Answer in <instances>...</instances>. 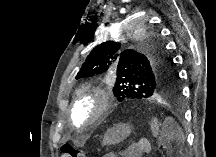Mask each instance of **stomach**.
I'll return each mask as SVG.
<instances>
[{
	"mask_svg": "<svg viewBox=\"0 0 216 157\" xmlns=\"http://www.w3.org/2000/svg\"><path fill=\"white\" fill-rule=\"evenodd\" d=\"M131 133V126L128 124H118L109 128L104 137L103 144H116L121 142Z\"/></svg>",
	"mask_w": 216,
	"mask_h": 157,
	"instance_id": "stomach-1",
	"label": "stomach"
}]
</instances>
